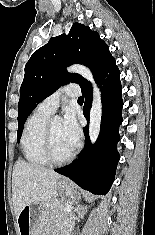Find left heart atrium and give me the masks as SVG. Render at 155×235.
<instances>
[{"mask_svg": "<svg viewBox=\"0 0 155 235\" xmlns=\"http://www.w3.org/2000/svg\"><path fill=\"white\" fill-rule=\"evenodd\" d=\"M61 129L67 144L73 149L79 142L81 131L76 116L72 112H66L61 123Z\"/></svg>", "mask_w": 155, "mask_h": 235, "instance_id": "obj_1", "label": "left heart atrium"}]
</instances>
